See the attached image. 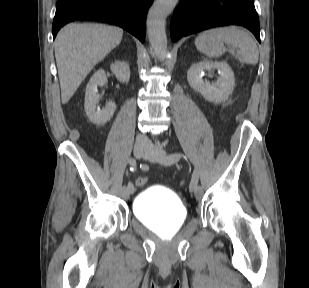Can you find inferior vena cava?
<instances>
[{
	"label": "inferior vena cava",
	"instance_id": "1",
	"mask_svg": "<svg viewBox=\"0 0 309 288\" xmlns=\"http://www.w3.org/2000/svg\"><path fill=\"white\" fill-rule=\"evenodd\" d=\"M136 143L146 145L149 143V139L145 135H138L136 138Z\"/></svg>",
	"mask_w": 309,
	"mask_h": 288
}]
</instances>
